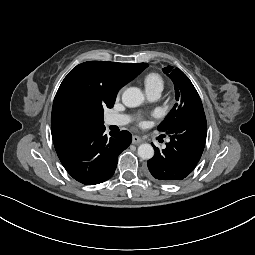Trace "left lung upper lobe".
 <instances>
[{"label":"left lung upper lobe","mask_w":255,"mask_h":255,"mask_svg":"<svg viewBox=\"0 0 255 255\" xmlns=\"http://www.w3.org/2000/svg\"><path fill=\"white\" fill-rule=\"evenodd\" d=\"M163 72L174 82L177 100L173 109L158 126L159 131L166 133L176 124L203 111V105L190 79L180 69L167 66L163 68Z\"/></svg>","instance_id":"1"}]
</instances>
